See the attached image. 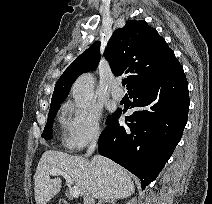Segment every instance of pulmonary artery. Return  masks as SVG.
<instances>
[{
	"label": "pulmonary artery",
	"mask_w": 212,
	"mask_h": 204,
	"mask_svg": "<svg viewBox=\"0 0 212 204\" xmlns=\"http://www.w3.org/2000/svg\"><path fill=\"white\" fill-rule=\"evenodd\" d=\"M120 86L121 82L119 80H116L112 86L111 96L116 101H121L124 97V92Z\"/></svg>",
	"instance_id": "obj_1"
}]
</instances>
